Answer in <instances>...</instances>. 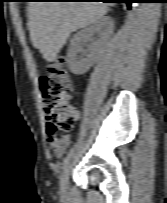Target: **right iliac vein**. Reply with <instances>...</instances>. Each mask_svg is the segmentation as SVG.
<instances>
[{"label": "right iliac vein", "mask_w": 167, "mask_h": 203, "mask_svg": "<svg viewBox=\"0 0 167 203\" xmlns=\"http://www.w3.org/2000/svg\"><path fill=\"white\" fill-rule=\"evenodd\" d=\"M71 169V164L66 168L65 172L61 176L60 180V194L62 196H66L68 193V188H69V172Z\"/></svg>", "instance_id": "obj_1"}]
</instances>
